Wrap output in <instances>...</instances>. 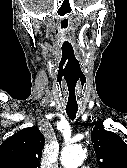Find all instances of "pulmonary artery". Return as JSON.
<instances>
[{
    "label": "pulmonary artery",
    "instance_id": "1",
    "mask_svg": "<svg viewBox=\"0 0 127 168\" xmlns=\"http://www.w3.org/2000/svg\"><path fill=\"white\" fill-rule=\"evenodd\" d=\"M80 168H89L88 166H82V167H80Z\"/></svg>",
    "mask_w": 127,
    "mask_h": 168
}]
</instances>
